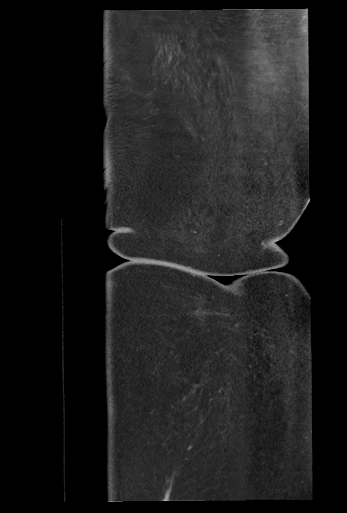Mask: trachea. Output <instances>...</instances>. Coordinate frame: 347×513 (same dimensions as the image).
Instances as JSON below:
<instances>
[{
    "instance_id": "3493384b",
    "label": "trachea",
    "mask_w": 347,
    "mask_h": 513,
    "mask_svg": "<svg viewBox=\"0 0 347 513\" xmlns=\"http://www.w3.org/2000/svg\"><path fill=\"white\" fill-rule=\"evenodd\" d=\"M219 278H220L221 280H223V281H230V280H232V278H231V277H219Z\"/></svg>"
}]
</instances>
